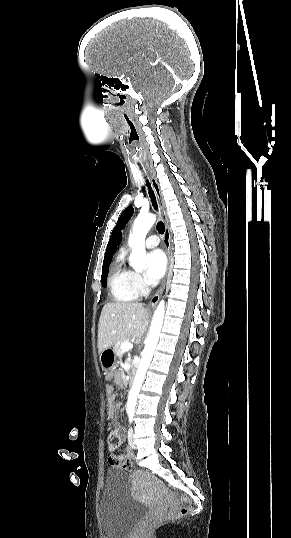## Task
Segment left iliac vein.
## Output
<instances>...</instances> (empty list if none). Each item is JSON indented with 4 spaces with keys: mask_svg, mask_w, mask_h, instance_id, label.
Listing matches in <instances>:
<instances>
[{
    "mask_svg": "<svg viewBox=\"0 0 291 538\" xmlns=\"http://www.w3.org/2000/svg\"><path fill=\"white\" fill-rule=\"evenodd\" d=\"M128 441H129V446L133 449H136V445L134 443V432H133L132 427L129 429V432H128Z\"/></svg>",
    "mask_w": 291,
    "mask_h": 538,
    "instance_id": "obj_1",
    "label": "left iliac vein"
}]
</instances>
